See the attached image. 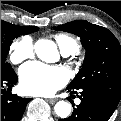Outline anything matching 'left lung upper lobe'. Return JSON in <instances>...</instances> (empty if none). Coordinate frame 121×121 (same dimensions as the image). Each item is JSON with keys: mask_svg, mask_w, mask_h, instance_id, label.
<instances>
[{"mask_svg": "<svg viewBox=\"0 0 121 121\" xmlns=\"http://www.w3.org/2000/svg\"><path fill=\"white\" fill-rule=\"evenodd\" d=\"M54 30L79 36L86 49L82 69L67 88H95L120 101L121 46L116 37L108 29L85 20L69 22Z\"/></svg>", "mask_w": 121, "mask_h": 121, "instance_id": "1", "label": "left lung upper lobe"}]
</instances>
